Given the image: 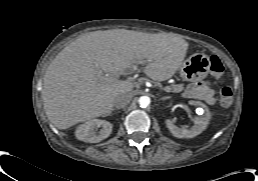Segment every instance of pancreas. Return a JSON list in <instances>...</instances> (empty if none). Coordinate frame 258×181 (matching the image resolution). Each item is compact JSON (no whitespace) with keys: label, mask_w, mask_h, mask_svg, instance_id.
Wrapping results in <instances>:
<instances>
[{"label":"pancreas","mask_w":258,"mask_h":181,"mask_svg":"<svg viewBox=\"0 0 258 181\" xmlns=\"http://www.w3.org/2000/svg\"><path fill=\"white\" fill-rule=\"evenodd\" d=\"M168 88L174 93H179L184 90V85L183 84H172L171 86H168Z\"/></svg>","instance_id":"pancreas-1"}]
</instances>
